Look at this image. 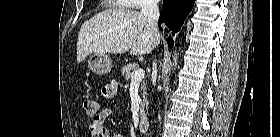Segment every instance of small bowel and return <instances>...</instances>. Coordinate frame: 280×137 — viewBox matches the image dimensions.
I'll list each match as a JSON object with an SVG mask.
<instances>
[{
	"mask_svg": "<svg viewBox=\"0 0 280 137\" xmlns=\"http://www.w3.org/2000/svg\"><path fill=\"white\" fill-rule=\"evenodd\" d=\"M118 85L115 81H111L106 84L102 89V94L106 97H112L117 93ZM111 108L106 107L102 109L95 117L92 119V123L89 126V133H97L98 137H109L108 130L105 127V121L111 115ZM114 137H121L116 135Z\"/></svg>",
	"mask_w": 280,
	"mask_h": 137,
	"instance_id": "c3829d8e",
	"label": "small bowel"
}]
</instances>
